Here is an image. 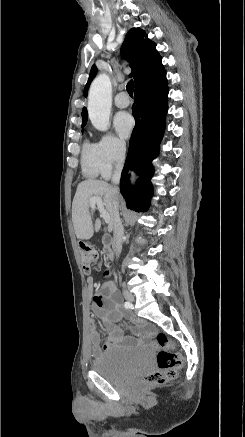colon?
<instances>
[{
  "instance_id": "colon-1",
  "label": "colon",
  "mask_w": 245,
  "mask_h": 437,
  "mask_svg": "<svg viewBox=\"0 0 245 437\" xmlns=\"http://www.w3.org/2000/svg\"><path fill=\"white\" fill-rule=\"evenodd\" d=\"M80 254L85 273L101 269L102 258L93 246L82 244ZM156 343L159 347L157 368L143 377V383L148 385H160L174 380L183 364L181 355L173 350V343L165 333L157 334Z\"/></svg>"
}]
</instances>
